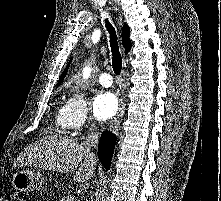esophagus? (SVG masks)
Wrapping results in <instances>:
<instances>
[{"label": "esophagus", "instance_id": "obj_1", "mask_svg": "<svg viewBox=\"0 0 221 201\" xmlns=\"http://www.w3.org/2000/svg\"><path fill=\"white\" fill-rule=\"evenodd\" d=\"M124 111H125V96H124V90H122L120 94V107L118 109L115 118L112 120L110 124V131L115 132L118 130L121 123V119L124 115Z\"/></svg>", "mask_w": 221, "mask_h": 201}]
</instances>
